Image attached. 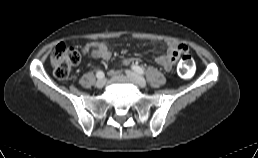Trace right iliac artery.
<instances>
[{"mask_svg": "<svg viewBox=\"0 0 258 158\" xmlns=\"http://www.w3.org/2000/svg\"><path fill=\"white\" fill-rule=\"evenodd\" d=\"M96 76H97V78L102 79V78H104V73L102 71H98L96 73Z\"/></svg>", "mask_w": 258, "mask_h": 158, "instance_id": "right-iliac-artery-1", "label": "right iliac artery"}]
</instances>
